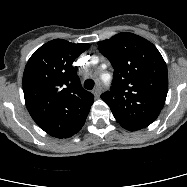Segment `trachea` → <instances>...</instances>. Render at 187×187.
I'll use <instances>...</instances> for the list:
<instances>
[{
    "instance_id": "trachea-1",
    "label": "trachea",
    "mask_w": 187,
    "mask_h": 187,
    "mask_svg": "<svg viewBox=\"0 0 187 187\" xmlns=\"http://www.w3.org/2000/svg\"><path fill=\"white\" fill-rule=\"evenodd\" d=\"M94 81L92 79H87L85 82H84V88H86L87 90H92L93 87H94Z\"/></svg>"
}]
</instances>
